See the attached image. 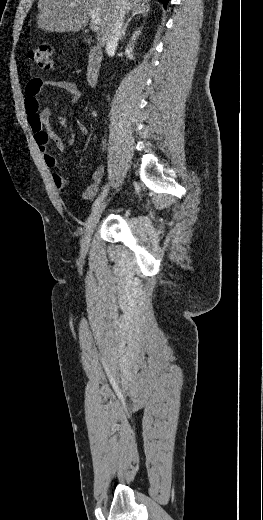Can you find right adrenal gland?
Segmentation results:
<instances>
[{
	"instance_id": "obj_1",
	"label": "right adrenal gland",
	"mask_w": 263,
	"mask_h": 520,
	"mask_svg": "<svg viewBox=\"0 0 263 520\" xmlns=\"http://www.w3.org/2000/svg\"><path fill=\"white\" fill-rule=\"evenodd\" d=\"M150 10V7H145L141 10H138V11H133L131 16L128 18V20L126 21L124 27H123V30H122V33H121V36H120V40H122L124 37H125V34H126V30H127V27L129 25V23L131 22V20L135 17V16H143V17H146L148 15V12Z\"/></svg>"
}]
</instances>
